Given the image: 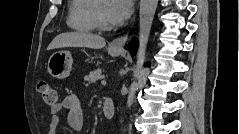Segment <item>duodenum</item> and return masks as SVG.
Listing matches in <instances>:
<instances>
[{
    "label": "duodenum",
    "mask_w": 239,
    "mask_h": 134,
    "mask_svg": "<svg viewBox=\"0 0 239 134\" xmlns=\"http://www.w3.org/2000/svg\"><path fill=\"white\" fill-rule=\"evenodd\" d=\"M115 108L112 99L105 97L103 100V114L107 120H111L114 117Z\"/></svg>",
    "instance_id": "duodenum-1"
}]
</instances>
